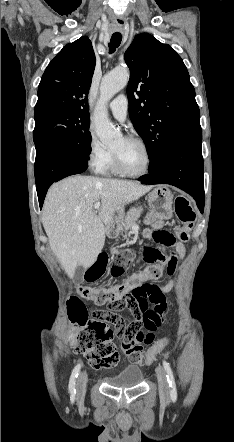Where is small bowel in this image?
Returning <instances> with one entry per match:
<instances>
[{"label":"small bowel","instance_id":"small-bowel-1","mask_svg":"<svg viewBox=\"0 0 234 442\" xmlns=\"http://www.w3.org/2000/svg\"><path fill=\"white\" fill-rule=\"evenodd\" d=\"M145 221L147 224L151 225V229L144 231V237L154 238L155 231L167 233L162 229L163 222L157 220L154 214H149ZM172 247L173 251L171 254H161L157 261L169 275L174 273L176 266L186 254V248L183 243L176 241ZM124 285L126 290L130 291L136 286L141 285V283H129L128 279L124 282ZM173 285L174 282L171 280L165 285L153 286H155L161 293L165 294L171 291ZM99 313L100 314H95L93 319L87 320V327L95 328L96 331H105L106 333H109L111 331L109 323H112L114 332L119 334V341L122 343L124 353L131 360L135 361L131 364L133 369H137L139 364L143 365V361L146 359L142 354V344H150L155 337L154 332L156 331V328H163L164 323L167 320L165 314H137L135 319H132L130 323H125L119 314H114L107 310L99 311Z\"/></svg>","mask_w":234,"mask_h":442}]
</instances>
